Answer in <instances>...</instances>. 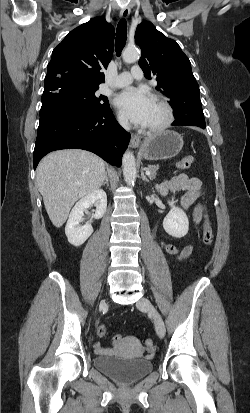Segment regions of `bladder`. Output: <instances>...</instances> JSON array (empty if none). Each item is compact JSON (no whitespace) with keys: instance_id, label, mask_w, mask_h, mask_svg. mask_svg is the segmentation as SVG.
I'll return each instance as SVG.
<instances>
[{"instance_id":"bladder-1","label":"bladder","mask_w":250,"mask_h":413,"mask_svg":"<svg viewBox=\"0 0 250 413\" xmlns=\"http://www.w3.org/2000/svg\"><path fill=\"white\" fill-rule=\"evenodd\" d=\"M93 363L98 370L123 384L134 383L153 369V363L148 359L117 355H98L93 359Z\"/></svg>"}]
</instances>
